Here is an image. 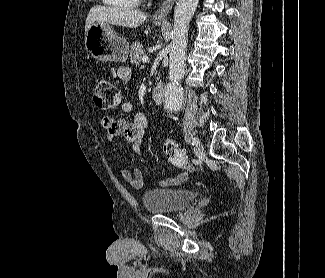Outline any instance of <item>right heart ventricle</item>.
<instances>
[{
    "label": "right heart ventricle",
    "instance_id": "obj_1",
    "mask_svg": "<svg viewBox=\"0 0 325 278\" xmlns=\"http://www.w3.org/2000/svg\"><path fill=\"white\" fill-rule=\"evenodd\" d=\"M139 1L140 0H102L105 5L120 9L135 8L139 5Z\"/></svg>",
    "mask_w": 325,
    "mask_h": 278
}]
</instances>
